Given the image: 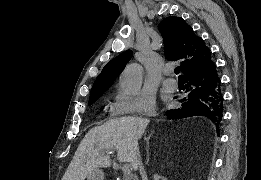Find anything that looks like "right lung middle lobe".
<instances>
[{
	"instance_id": "right-lung-middle-lobe-1",
	"label": "right lung middle lobe",
	"mask_w": 261,
	"mask_h": 180,
	"mask_svg": "<svg viewBox=\"0 0 261 180\" xmlns=\"http://www.w3.org/2000/svg\"><path fill=\"white\" fill-rule=\"evenodd\" d=\"M101 96H97V97H93L89 99V105L93 104L98 98H100Z\"/></svg>"
}]
</instances>
